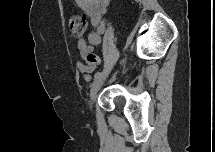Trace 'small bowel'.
<instances>
[{
  "mask_svg": "<svg viewBox=\"0 0 215 152\" xmlns=\"http://www.w3.org/2000/svg\"><path fill=\"white\" fill-rule=\"evenodd\" d=\"M109 2V0H76L77 5L89 17L92 25V30L87 39L78 42V48L82 56L92 51L94 46L100 44L106 26L105 17ZM76 67L80 73L84 74L87 81L91 79L87 67L82 62L78 61Z\"/></svg>",
  "mask_w": 215,
  "mask_h": 152,
  "instance_id": "obj_1",
  "label": "small bowel"
}]
</instances>
